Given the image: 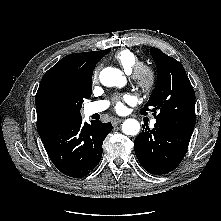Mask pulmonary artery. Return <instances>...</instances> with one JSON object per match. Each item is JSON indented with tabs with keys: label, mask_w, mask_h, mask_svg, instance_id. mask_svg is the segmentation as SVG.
Segmentation results:
<instances>
[{
	"label": "pulmonary artery",
	"mask_w": 221,
	"mask_h": 221,
	"mask_svg": "<svg viewBox=\"0 0 221 221\" xmlns=\"http://www.w3.org/2000/svg\"><path fill=\"white\" fill-rule=\"evenodd\" d=\"M108 105H109V103L106 100L92 102L86 106L85 112L88 115L100 113V112L104 111L108 107ZM155 123H156V120H152L151 126H154Z\"/></svg>",
	"instance_id": "e3ab8cb5"
}]
</instances>
